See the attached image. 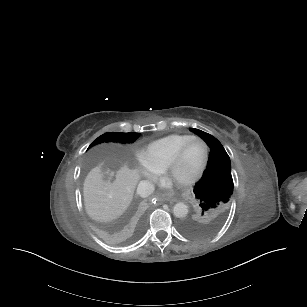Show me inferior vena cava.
<instances>
[{"mask_svg": "<svg viewBox=\"0 0 307 307\" xmlns=\"http://www.w3.org/2000/svg\"><path fill=\"white\" fill-rule=\"evenodd\" d=\"M155 190L154 185L148 180H142L137 187V194L143 198L151 195Z\"/></svg>", "mask_w": 307, "mask_h": 307, "instance_id": "602c4592", "label": "inferior vena cava"}]
</instances>
